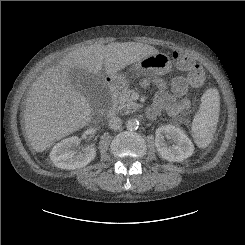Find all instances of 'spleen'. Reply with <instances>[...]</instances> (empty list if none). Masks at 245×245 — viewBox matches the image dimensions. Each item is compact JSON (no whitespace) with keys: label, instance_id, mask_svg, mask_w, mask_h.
Returning <instances> with one entry per match:
<instances>
[{"label":"spleen","instance_id":"spleen-1","mask_svg":"<svg viewBox=\"0 0 245 245\" xmlns=\"http://www.w3.org/2000/svg\"><path fill=\"white\" fill-rule=\"evenodd\" d=\"M219 112V92L215 88H210L202 95L200 109L192 122L193 138L199 147L205 148L212 141L219 119Z\"/></svg>","mask_w":245,"mask_h":245}]
</instances>
